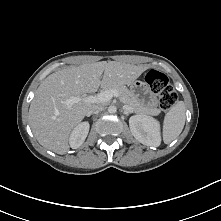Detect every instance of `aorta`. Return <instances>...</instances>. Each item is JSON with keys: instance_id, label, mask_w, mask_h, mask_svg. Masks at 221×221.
<instances>
[{"instance_id": "1", "label": "aorta", "mask_w": 221, "mask_h": 221, "mask_svg": "<svg viewBox=\"0 0 221 221\" xmlns=\"http://www.w3.org/2000/svg\"><path fill=\"white\" fill-rule=\"evenodd\" d=\"M108 112H109L110 114L116 113V112H117L116 106H114V105L109 106V107H108Z\"/></svg>"}]
</instances>
